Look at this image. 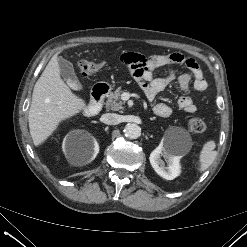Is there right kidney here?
Listing matches in <instances>:
<instances>
[{
    "label": "right kidney",
    "instance_id": "right-kidney-1",
    "mask_svg": "<svg viewBox=\"0 0 247 247\" xmlns=\"http://www.w3.org/2000/svg\"><path fill=\"white\" fill-rule=\"evenodd\" d=\"M90 138H91V141H92V150H93L92 159H94L97 156V154L99 153V144H98V142L96 141L95 138H93L92 136H90ZM64 147L65 146L63 144V148Z\"/></svg>",
    "mask_w": 247,
    "mask_h": 247
}]
</instances>
